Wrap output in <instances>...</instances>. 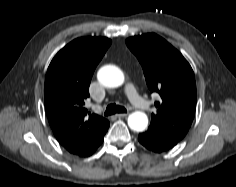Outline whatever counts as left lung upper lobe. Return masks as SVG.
<instances>
[{
	"label": "left lung upper lobe",
	"instance_id": "obj_1",
	"mask_svg": "<svg viewBox=\"0 0 236 187\" xmlns=\"http://www.w3.org/2000/svg\"><path fill=\"white\" fill-rule=\"evenodd\" d=\"M143 67L151 92L161 96L155 102L148 131L177 141L187 134L196 109V83L193 70L182 54L162 37L150 33L126 40Z\"/></svg>",
	"mask_w": 236,
	"mask_h": 187
}]
</instances>
